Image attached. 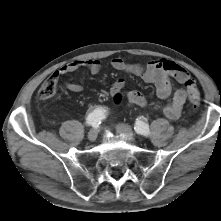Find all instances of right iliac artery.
<instances>
[{
	"label": "right iliac artery",
	"instance_id": "obj_1",
	"mask_svg": "<svg viewBox=\"0 0 221 221\" xmlns=\"http://www.w3.org/2000/svg\"><path fill=\"white\" fill-rule=\"evenodd\" d=\"M106 118V110L97 108L93 110L86 118V124L88 126L98 127L102 120Z\"/></svg>",
	"mask_w": 221,
	"mask_h": 221
}]
</instances>
